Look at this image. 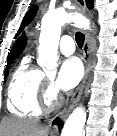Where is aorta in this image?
Segmentation results:
<instances>
[{"label":"aorta","mask_w":117,"mask_h":136,"mask_svg":"<svg viewBox=\"0 0 117 136\" xmlns=\"http://www.w3.org/2000/svg\"><path fill=\"white\" fill-rule=\"evenodd\" d=\"M69 22H74L84 29L88 28L89 25L80 15L67 13L62 8L47 12L42 18L37 62L47 71H54L57 67V49L61 27ZM85 121V108L79 106L69 115L62 129L61 136H83Z\"/></svg>","instance_id":"762f6f07"}]
</instances>
